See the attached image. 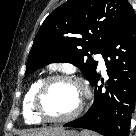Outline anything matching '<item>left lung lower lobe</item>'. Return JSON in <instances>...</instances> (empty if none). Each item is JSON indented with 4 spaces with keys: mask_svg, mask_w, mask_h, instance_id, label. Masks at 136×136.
<instances>
[{
    "mask_svg": "<svg viewBox=\"0 0 136 136\" xmlns=\"http://www.w3.org/2000/svg\"><path fill=\"white\" fill-rule=\"evenodd\" d=\"M103 55L109 80L97 86V73L89 80L95 86L88 112L65 127L84 128L103 136H129L136 100V16L131 7L105 46Z\"/></svg>",
    "mask_w": 136,
    "mask_h": 136,
    "instance_id": "left-lung-lower-lobe-1",
    "label": "left lung lower lobe"
}]
</instances>
